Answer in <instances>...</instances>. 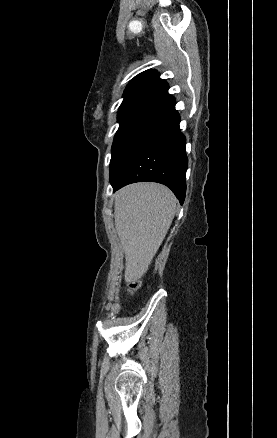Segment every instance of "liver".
Here are the masks:
<instances>
[{
  "instance_id": "1",
  "label": "liver",
  "mask_w": 277,
  "mask_h": 438,
  "mask_svg": "<svg viewBox=\"0 0 277 438\" xmlns=\"http://www.w3.org/2000/svg\"><path fill=\"white\" fill-rule=\"evenodd\" d=\"M175 210L176 198L162 184H131L116 192L114 220L125 254V282H137L146 274Z\"/></svg>"
}]
</instances>
